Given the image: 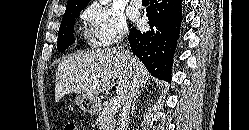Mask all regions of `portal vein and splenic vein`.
I'll list each match as a JSON object with an SVG mask.
<instances>
[{"mask_svg":"<svg viewBox=\"0 0 249 130\" xmlns=\"http://www.w3.org/2000/svg\"><path fill=\"white\" fill-rule=\"evenodd\" d=\"M119 107H120V99L118 97L113 98L110 101V110L116 113Z\"/></svg>","mask_w":249,"mask_h":130,"instance_id":"obj_1","label":"portal vein and splenic vein"}]
</instances>
